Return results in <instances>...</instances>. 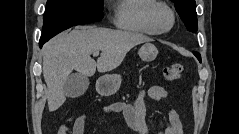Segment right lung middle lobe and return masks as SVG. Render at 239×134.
<instances>
[{"mask_svg": "<svg viewBox=\"0 0 239 134\" xmlns=\"http://www.w3.org/2000/svg\"><path fill=\"white\" fill-rule=\"evenodd\" d=\"M102 0H48L41 38L53 37L75 25L100 21Z\"/></svg>", "mask_w": 239, "mask_h": 134, "instance_id": "dd1d6c3e", "label": "right lung middle lobe"}]
</instances>
